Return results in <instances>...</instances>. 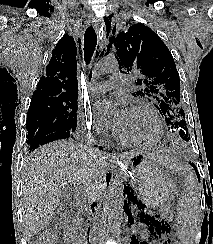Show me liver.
Segmentation results:
<instances>
[{"label":"liver","instance_id":"1","mask_svg":"<svg viewBox=\"0 0 213 244\" xmlns=\"http://www.w3.org/2000/svg\"><path fill=\"white\" fill-rule=\"evenodd\" d=\"M139 152L124 153L130 160ZM166 165L168 156L146 153ZM114 157L71 141H55L37 149L23 174V223L26 235L48 226L61 207L63 191L81 189L88 202L99 201L106 194V174Z\"/></svg>","mask_w":213,"mask_h":244}]
</instances>
